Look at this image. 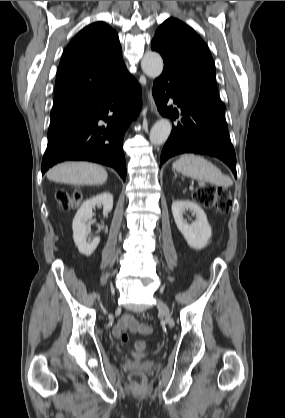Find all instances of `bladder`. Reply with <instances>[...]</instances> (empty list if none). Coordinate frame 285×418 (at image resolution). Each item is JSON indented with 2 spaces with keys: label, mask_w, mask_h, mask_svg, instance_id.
<instances>
[{
  "label": "bladder",
  "mask_w": 285,
  "mask_h": 418,
  "mask_svg": "<svg viewBox=\"0 0 285 418\" xmlns=\"http://www.w3.org/2000/svg\"><path fill=\"white\" fill-rule=\"evenodd\" d=\"M132 357L134 359L140 360V359H143L145 357V355L144 354H140V353H132Z\"/></svg>",
  "instance_id": "bladder-1"
}]
</instances>
